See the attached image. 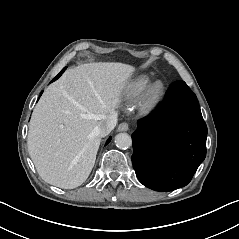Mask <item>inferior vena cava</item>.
Listing matches in <instances>:
<instances>
[{
    "label": "inferior vena cava",
    "instance_id": "inferior-vena-cava-1",
    "mask_svg": "<svg viewBox=\"0 0 239 239\" xmlns=\"http://www.w3.org/2000/svg\"><path fill=\"white\" fill-rule=\"evenodd\" d=\"M117 114H110L106 120L98 127L96 133L99 137L107 136L116 126Z\"/></svg>",
    "mask_w": 239,
    "mask_h": 239
}]
</instances>
